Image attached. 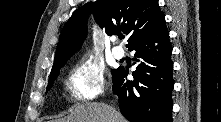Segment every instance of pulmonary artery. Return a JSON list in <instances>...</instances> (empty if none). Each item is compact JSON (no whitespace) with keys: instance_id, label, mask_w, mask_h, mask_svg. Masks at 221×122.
<instances>
[{"instance_id":"obj_1","label":"pulmonary artery","mask_w":221,"mask_h":122,"mask_svg":"<svg viewBox=\"0 0 221 122\" xmlns=\"http://www.w3.org/2000/svg\"><path fill=\"white\" fill-rule=\"evenodd\" d=\"M112 54L116 59H121L124 57L125 52H124L123 48H121L119 46H115L112 49Z\"/></svg>"}]
</instances>
